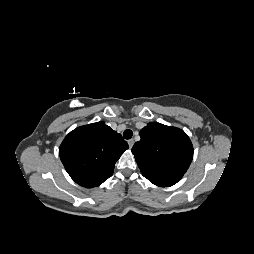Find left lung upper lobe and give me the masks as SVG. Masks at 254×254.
<instances>
[{
	"label": "left lung upper lobe",
	"instance_id": "left-lung-upper-lobe-1",
	"mask_svg": "<svg viewBox=\"0 0 254 254\" xmlns=\"http://www.w3.org/2000/svg\"><path fill=\"white\" fill-rule=\"evenodd\" d=\"M140 141L132 148L142 175L160 187L176 184L193 158V146L181 129L157 122L140 131Z\"/></svg>",
	"mask_w": 254,
	"mask_h": 254
}]
</instances>
